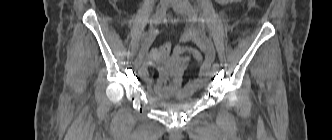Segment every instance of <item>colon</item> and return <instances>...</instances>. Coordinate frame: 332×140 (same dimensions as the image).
I'll return each instance as SVG.
<instances>
[{
    "label": "colon",
    "instance_id": "colon-1",
    "mask_svg": "<svg viewBox=\"0 0 332 140\" xmlns=\"http://www.w3.org/2000/svg\"><path fill=\"white\" fill-rule=\"evenodd\" d=\"M250 2L251 5H254L256 0H251ZM171 50H172V45L170 43H166L158 49L157 55L160 59H164L167 56V54L171 52Z\"/></svg>",
    "mask_w": 332,
    "mask_h": 140
}]
</instances>
